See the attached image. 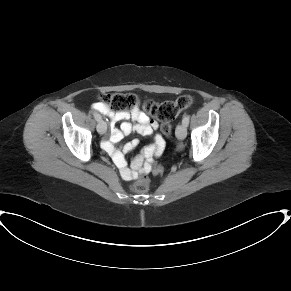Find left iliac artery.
I'll use <instances>...</instances> for the list:
<instances>
[{
  "mask_svg": "<svg viewBox=\"0 0 291 291\" xmlns=\"http://www.w3.org/2000/svg\"><path fill=\"white\" fill-rule=\"evenodd\" d=\"M182 124L185 125L186 127L189 124V115H184V118L182 120Z\"/></svg>",
  "mask_w": 291,
  "mask_h": 291,
  "instance_id": "1",
  "label": "left iliac artery"
}]
</instances>
